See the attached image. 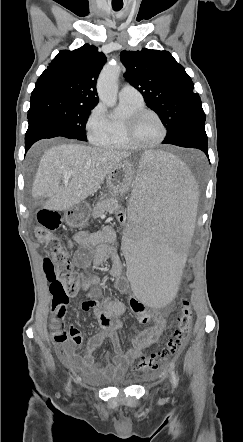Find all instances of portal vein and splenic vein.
Here are the masks:
<instances>
[{
	"instance_id": "obj_1",
	"label": "portal vein and splenic vein",
	"mask_w": 243,
	"mask_h": 442,
	"mask_svg": "<svg viewBox=\"0 0 243 442\" xmlns=\"http://www.w3.org/2000/svg\"><path fill=\"white\" fill-rule=\"evenodd\" d=\"M72 174H73L72 171L65 172L64 175H63L65 181H67L72 176Z\"/></svg>"
}]
</instances>
